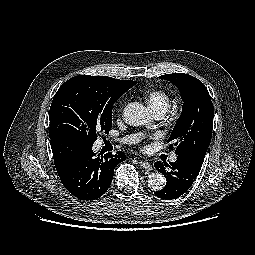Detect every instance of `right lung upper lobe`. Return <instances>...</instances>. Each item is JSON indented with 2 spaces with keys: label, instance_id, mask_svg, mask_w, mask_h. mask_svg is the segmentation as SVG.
Wrapping results in <instances>:
<instances>
[{
  "label": "right lung upper lobe",
  "instance_id": "right-lung-upper-lobe-1",
  "mask_svg": "<svg viewBox=\"0 0 255 255\" xmlns=\"http://www.w3.org/2000/svg\"><path fill=\"white\" fill-rule=\"evenodd\" d=\"M126 81H129V82H135V81H130V80H126Z\"/></svg>",
  "mask_w": 255,
  "mask_h": 255
}]
</instances>
